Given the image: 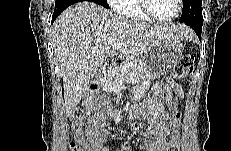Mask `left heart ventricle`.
I'll return each mask as SVG.
<instances>
[{
    "label": "left heart ventricle",
    "mask_w": 231,
    "mask_h": 151,
    "mask_svg": "<svg viewBox=\"0 0 231 151\" xmlns=\"http://www.w3.org/2000/svg\"><path fill=\"white\" fill-rule=\"evenodd\" d=\"M149 10L156 18H169L177 10L176 0H149Z\"/></svg>",
    "instance_id": "obj_1"
}]
</instances>
